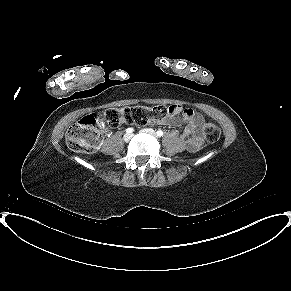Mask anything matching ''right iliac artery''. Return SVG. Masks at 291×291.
<instances>
[{"mask_svg": "<svg viewBox=\"0 0 291 291\" xmlns=\"http://www.w3.org/2000/svg\"><path fill=\"white\" fill-rule=\"evenodd\" d=\"M133 131H134L133 128H127V129H126V132H127V133H132Z\"/></svg>", "mask_w": 291, "mask_h": 291, "instance_id": "right-iliac-artery-1", "label": "right iliac artery"}]
</instances>
